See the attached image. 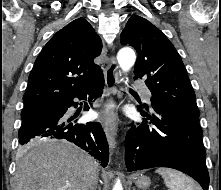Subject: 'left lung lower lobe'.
Returning <instances> with one entry per match:
<instances>
[{
    "mask_svg": "<svg viewBox=\"0 0 221 190\" xmlns=\"http://www.w3.org/2000/svg\"><path fill=\"white\" fill-rule=\"evenodd\" d=\"M138 111L145 117L133 123L125 139V163L129 172L153 167L182 171L208 190L209 173L199 121L174 111L145 106ZM149 120V124L147 123Z\"/></svg>",
    "mask_w": 221,
    "mask_h": 190,
    "instance_id": "1",
    "label": "left lung lower lobe"
}]
</instances>
